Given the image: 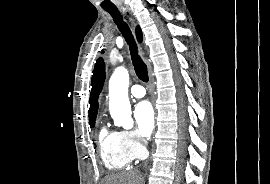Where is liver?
<instances>
[{"mask_svg":"<svg viewBox=\"0 0 270 184\" xmlns=\"http://www.w3.org/2000/svg\"><path fill=\"white\" fill-rule=\"evenodd\" d=\"M139 176L135 172L118 173L106 176L102 184H137Z\"/></svg>","mask_w":270,"mask_h":184,"instance_id":"1","label":"liver"}]
</instances>
